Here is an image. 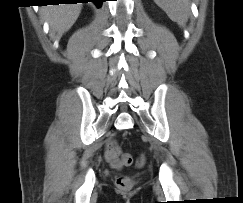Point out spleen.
Listing matches in <instances>:
<instances>
[{"mask_svg": "<svg viewBox=\"0 0 243 203\" xmlns=\"http://www.w3.org/2000/svg\"><path fill=\"white\" fill-rule=\"evenodd\" d=\"M154 2L167 13L172 21L181 25L187 20L188 0H154Z\"/></svg>", "mask_w": 243, "mask_h": 203, "instance_id": "obj_1", "label": "spleen"}]
</instances>
